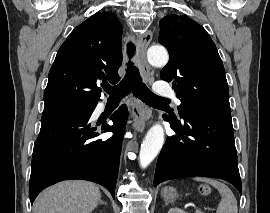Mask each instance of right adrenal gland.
I'll return each mask as SVG.
<instances>
[{
    "mask_svg": "<svg viewBox=\"0 0 270 213\" xmlns=\"http://www.w3.org/2000/svg\"><path fill=\"white\" fill-rule=\"evenodd\" d=\"M99 203H100V204H105V205H107V203L104 202V201H100Z\"/></svg>",
    "mask_w": 270,
    "mask_h": 213,
    "instance_id": "right-adrenal-gland-1",
    "label": "right adrenal gland"
}]
</instances>
